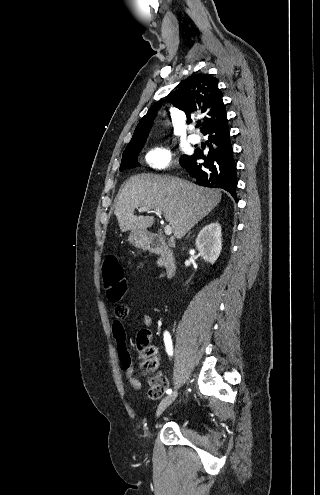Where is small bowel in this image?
I'll return each mask as SVG.
<instances>
[{
	"label": "small bowel",
	"instance_id": "small-bowel-1",
	"mask_svg": "<svg viewBox=\"0 0 320 495\" xmlns=\"http://www.w3.org/2000/svg\"><path fill=\"white\" fill-rule=\"evenodd\" d=\"M130 312V308L126 305H123V308L119 311L115 309V318L112 322V332L118 343L120 356L126 368V377L129 384L134 389H141L142 383L136 377H134V368L131 365V359L126 351L125 346V329L122 320L127 318L130 315ZM138 313L141 315L144 325L149 327L152 324V318L143 310H139ZM124 358L129 359V361L126 362Z\"/></svg>",
	"mask_w": 320,
	"mask_h": 495
}]
</instances>
